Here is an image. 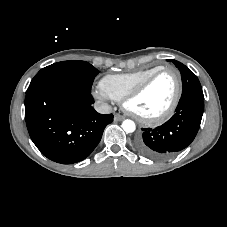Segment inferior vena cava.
Segmentation results:
<instances>
[{
    "instance_id": "602c4592",
    "label": "inferior vena cava",
    "mask_w": 227,
    "mask_h": 227,
    "mask_svg": "<svg viewBox=\"0 0 227 227\" xmlns=\"http://www.w3.org/2000/svg\"><path fill=\"white\" fill-rule=\"evenodd\" d=\"M94 108L98 113H101V114H109L112 111L111 106L104 102H96L94 104Z\"/></svg>"
}]
</instances>
